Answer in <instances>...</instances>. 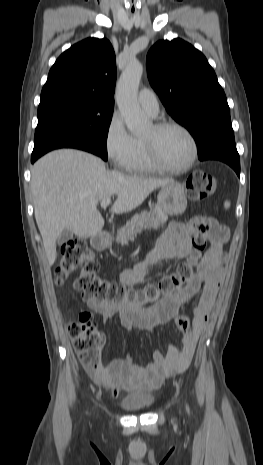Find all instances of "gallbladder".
<instances>
[{"instance_id":"1","label":"gallbladder","mask_w":263,"mask_h":465,"mask_svg":"<svg viewBox=\"0 0 263 465\" xmlns=\"http://www.w3.org/2000/svg\"><path fill=\"white\" fill-rule=\"evenodd\" d=\"M73 238V232L70 230H64L58 237L57 243L62 245L63 243L67 242L68 240Z\"/></svg>"}]
</instances>
